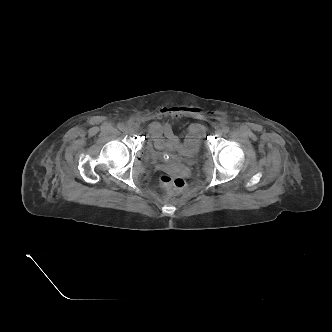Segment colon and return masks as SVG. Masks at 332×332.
<instances>
[{
	"label": "colon",
	"instance_id": "colon-1",
	"mask_svg": "<svg viewBox=\"0 0 332 332\" xmlns=\"http://www.w3.org/2000/svg\"><path fill=\"white\" fill-rule=\"evenodd\" d=\"M159 180L161 186L169 193L181 192L186 186V181L181 177L162 175Z\"/></svg>",
	"mask_w": 332,
	"mask_h": 332
}]
</instances>
